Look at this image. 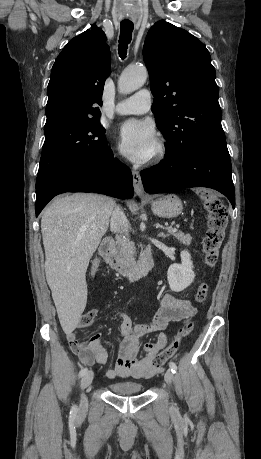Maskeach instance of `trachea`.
I'll return each mask as SVG.
<instances>
[{"mask_svg":"<svg viewBox=\"0 0 261 459\" xmlns=\"http://www.w3.org/2000/svg\"><path fill=\"white\" fill-rule=\"evenodd\" d=\"M133 27V22L128 20H124L120 23L118 53L122 59L126 58L128 45L132 40Z\"/></svg>","mask_w":261,"mask_h":459,"instance_id":"trachea-1","label":"trachea"}]
</instances>
